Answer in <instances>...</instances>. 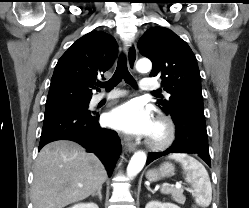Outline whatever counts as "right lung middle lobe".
<instances>
[{
	"mask_svg": "<svg viewBox=\"0 0 249 208\" xmlns=\"http://www.w3.org/2000/svg\"><path fill=\"white\" fill-rule=\"evenodd\" d=\"M71 104H75L81 107H88L89 101H82V102H76V103H71Z\"/></svg>",
	"mask_w": 249,
	"mask_h": 208,
	"instance_id": "obj_1",
	"label": "right lung middle lobe"
}]
</instances>
